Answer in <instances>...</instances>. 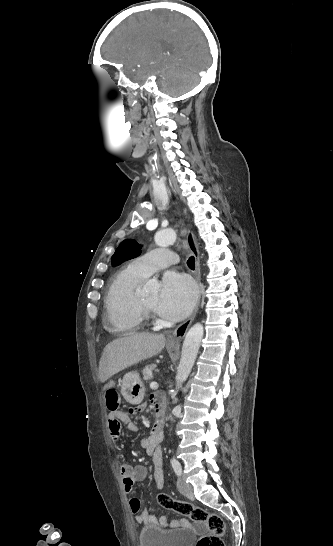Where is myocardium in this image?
<instances>
[{
	"label": "myocardium",
	"mask_w": 333,
	"mask_h": 546,
	"mask_svg": "<svg viewBox=\"0 0 333 546\" xmlns=\"http://www.w3.org/2000/svg\"><path fill=\"white\" fill-rule=\"evenodd\" d=\"M137 305H138L139 310H140L141 313L143 314L144 318H150V319H154V318H155L154 309L151 308V307H148V306L143 302V300L141 299L140 296L137 297Z\"/></svg>",
	"instance_id": "1"
}]
</instances>
